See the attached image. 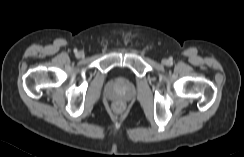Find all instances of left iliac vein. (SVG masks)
Masks as SVG:
<instances>
[{
  "label": "left iliac vein",
  "instance_id": "obj_1",
  "mask_svg": "<svg viewBox=\"0 0 244 157\" xmlns=\"http://www.w3.org/2000/svg\"><path fill=\"white\" fill-rule=\"evenodd\" d=\"M168 63H169V61H168L167 59H163V60H162V64H163V65H167Z\"/></svg>",
  "mask_w": 244,
  "mask_h": 157
}]
</instances>
